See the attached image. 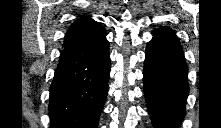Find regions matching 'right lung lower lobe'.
<instances>
[{
    "mask_svg": "<svg viewBox=\"0 0 221 128\" xmlns=\"http://www.w3.org/2000/svg\"><path fill=\"white\" fill-rule=\"evenodd\" d=\"M105 36L62 50L50 86V128H97L110 71Z\"/></svg>",
    "mask_w": 221,
    "mask_h": 128,
    "instance_id": "obj_1",
    "label": "right lung lower lobe"
}]
</instances>
